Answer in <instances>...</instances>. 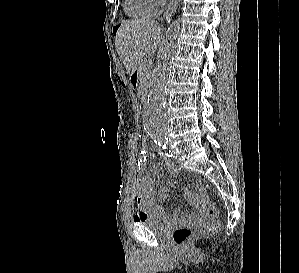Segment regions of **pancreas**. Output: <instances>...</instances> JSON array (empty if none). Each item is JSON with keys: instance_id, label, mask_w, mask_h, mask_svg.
Returning a JSON list of instances; mask_svg holds the SVG:
<instances>
[{"instance_id": "pancreas-1", "label": "pancreas", "mask_w": 299, "mask_h": 273, "mask_svg": "<svg viewBox=\"0 0 299 273\" xmlns=\"http://www.w3.org/2000/svg\"><path fill=\"white\" fill-rule=\"evenodd\" d=\"M140 72V90L143 91L147 88L150 78H151V67L145 61L141 62L139 65Z\"/></svg>"}]
</instances>
